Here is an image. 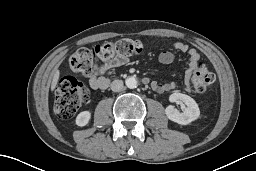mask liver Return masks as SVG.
I'll return each instance as SVG.
<instances>
[{
  "mask_svg": "<svg viewBox=\"0 0 256 171\" xmlns=\"http://www.w3.org/2000/svg\"><path fill=\"white\" fill-rule=\"evenodd\" d=\"M59 70H56L54 75H53V79H52V83H51V90L53 91L58 83V79H59Z\"/></svg>",
  "mask_w": 256,
  "mask_h": 171,
  "instance_id": "liver-1",
  "label": "liver"
}]
</instances>
